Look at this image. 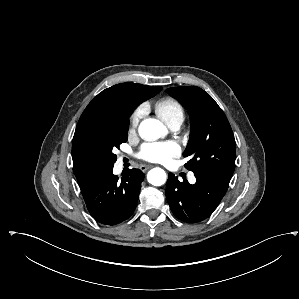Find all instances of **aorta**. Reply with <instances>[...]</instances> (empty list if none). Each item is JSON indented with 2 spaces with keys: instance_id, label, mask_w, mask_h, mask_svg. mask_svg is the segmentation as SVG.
Masks as SVG:
<instances>
[{
  "instance_id": "762f6f07",
  "label": "aorta",
  "mask_w": 299,
  "mask_h": 299,
  "mask_svg": "<svg viewBox=\"0 0 299 299\" xmlns=\"http://www.w3.org/2000/svg\"><path fill=\"white\" fill-rule=\"evenodd\" d=\"M142 139L151 141L156 140L167 133L166 127L157 119L148 118L143 120L138 128ZM166 173L161 168H153L147 174V180L154 186H161L166 182Z\"/></svg>"
}]
</instances>
